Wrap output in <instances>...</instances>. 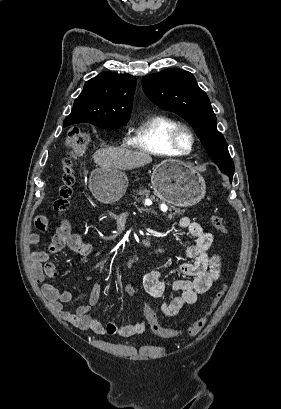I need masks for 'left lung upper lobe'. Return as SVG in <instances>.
I'll use <instances>...</instances> for the list:
<instances>
[{"label":"left lung upper lobe","instance_id":"obj_1","mask_svg":"<svg viewBox=\"0 0 281 409\" xmlns=\"http://www.w3.org/2000/svg\"><path fill=\"white\" fill-rule=\"evenodd\" d=\"M143 90L159 107L175 112L189 122L214 163L228 175L234 164L226 141L216 128V116L206 93L194 76L181 69H166L142 79Z\"/></svg>","mask_w":281,"mask_h":409}]
</instances>
